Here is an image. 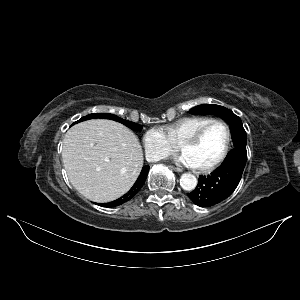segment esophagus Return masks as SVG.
<instances>
[{
	"label": "esophagus",
	"mask_w": 300,
	"mask_h": 300,
	"mask_svg": "<svg viewBox=\"0 0 300 300\" xmlns=\"http://www.w3.org/2000/svg\"><path fill=\"white\" fill-rule=\"evenodd\" d=\"M170 168L176 172H182V169L179 167H175V166H170Z\"/></svg>",
	"instance_id": "esophagus-1"
}]
</instances>
